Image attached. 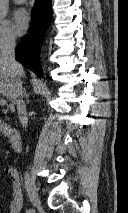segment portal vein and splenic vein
Masks as SVG:
<instances>
[{
	"mask_svg": "<svg viewBox=\"0 0 128 213\" xmlns=\"http://www.w3.org/2000/svg\"><path fill=\"white\" fill-rule=\"evenodd\" d=\"M0 105L1 106L7 105V101L5 99H0Z\"/></svg>",
	"mask_w": 128,
	"mask_h": 213,
	"instance_id": "18ae733b",
	"label": "portal vein and splenic vein"
}]
</instances>
